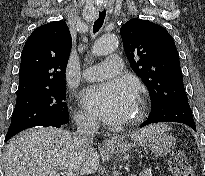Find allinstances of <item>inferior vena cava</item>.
Returning a JSON list of instances; mask_svg holds the SVG:
<instances>
[{"instance_id": "1", "label": "inferior vena cava", "mask_w": 205, "mask_h": 176, "mask_svg": "<svg viewBox=\"0 0 205 176\" xmlns=\"http://www.w3.org/2000/svg\"><path fill=\"white\" fill-rule=\"evenodd\" d=\"M77 132L73 136V142L78 149L89 151L93 144L94 134L99 129V124L96 119L90 117H77L76 119Z\"/></svg>"}]
</instances>
